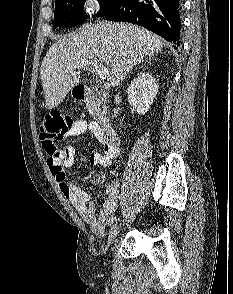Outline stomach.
<instances>
[{"label": "stomach", "instance_id": "1", "mask_svg": "<svg viewBox=\"0 0 233 294\" xmlns=\"http://www.w3.org/2000/svg\"><path fill=\"white\" fill-rule=\"evenodd\" d=\"M73 96H76V93L74 91H72Z\"/></svg>", "mask_w": 233, "mask_h": 294}]
</instances>
